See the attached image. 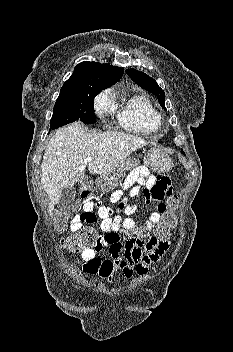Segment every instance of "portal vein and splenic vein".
Wrapping results in <instances>:
<instances>
[{
  "label": "portal vein and splenic vein",
  "mask_w": 233,
  "mask_h": 352,
  "mask_svg": "<svg viewBox=\"0 0 233 352\" xmlns=\"http://www.w3.org/2000/svg\"><path fill=\"white\" fill-rule=\"evenodd\" d=\"M92 159H93L92 157H86V158L84 159V162H85V163L91 162Z\"/></svg>",
  "instance_id": "1"
}]
</instances>
